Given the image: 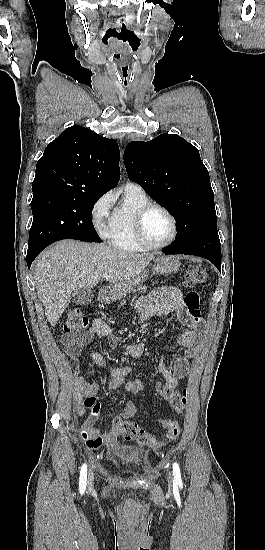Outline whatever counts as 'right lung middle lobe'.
Segmentation results:
<instances>
[{"mask_svg": "<svg viewBox=\"0 0 265 550\" xmlns=\"http://www.w3.org/2000/svg\"><path fill=\"white\" fill-rule=\"evenodd\" d=\"M101 195L67 196L55 193L33 195V223L27 254L43 250L62 239L101 242L92 223V209Z\"/></svg>", "mask_w": 265, "mask_h": 550, "instance_id": "obj_1", "label": "right lung middle lobe"}]
</instances>
